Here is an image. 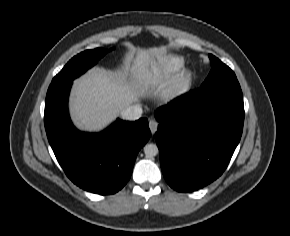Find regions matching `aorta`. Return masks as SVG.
Listing matches in <instances>:
<instances>
[{"mask_svg":"<svg viewBox=\"0 0 290 236\" xmlns=\"http://www.w3.org/2000/svg\"><path fill=\"white\" fill-rule=\"evenodd\" d=\"M158 152L159 150L156 144L150 143L144 146V153L147 157H154Z\"/></svg>","mask_w":290,"mask_h":236,"instance_id":"obj_1","label":"aorta"}]
</instances>
